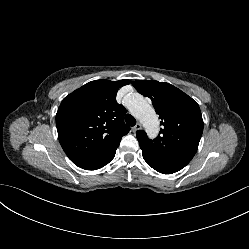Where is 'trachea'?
<instances>
[{
    "instance_id": "1",
    "label": "trachea",
    "mask_w": 249,
    "mask_h": 249,
    "mask_svg": "<svg viewBox=\"0 0 249 249\" xmlns=\"http://www.w3.org/2000/svg\"><path fill=\"white\" fill-rule=\"evenodd\" d=\"M125 121L129 126H134L136 124V119L131 114L125 116Z\"/></svg>"
}]
</instances>
